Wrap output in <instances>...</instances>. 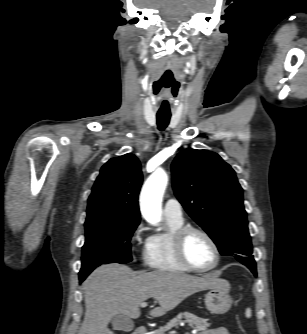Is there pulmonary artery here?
I'll return each instance as SVG.
<instances>
[{"mask_svg":"<svg viewBox=\"0 0 307 334\" xmlns=\"http://www.w3.org/2000/svg\"><path fill=\"white\" fill-rule=\"evenodd\" d=\"M163 214L166 218L181 222L183 221V211L180 202L177 199L171 198L165 202Z\"/></svg>","mask_w":307,"mask_h":334,"instance_id":"pulmonary-artery-1","label":"pulmonary artery"}]
</instances>
